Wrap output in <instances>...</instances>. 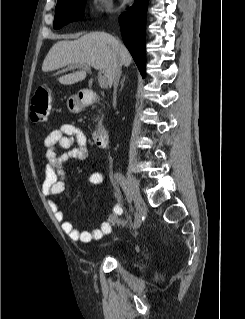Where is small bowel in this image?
Returning <instances> with one entry per match:
<instances>
[{
    "label": "small bowel",
    "mask_w": 245,
    "mask_h": 319,
    "mask_svg": "<svg viewBox=\"0 0 245 319\" xmlns=\"http://www.w3.org/2000/svg\"><path fill=\"white\" fill-rule=\"evenodd\" d=\"M46 166L42 183V193L45 197L68 194L63 165L68 160H85L89 155L88 140L85 133L71 124H63L53 129L45 138ZM104 175L99 172L90 173L87 184L99 185ZM55 219L60 223L62 231L74 242L89 243L100 240L112 230L113 221L122 214V205L116 204L112 209L109 220L101 223L91 231H80L72 222L65 219L62 210L55 201L48 203Z\"/></svg>",
    "instance_id": "1"
}]
</instances>
